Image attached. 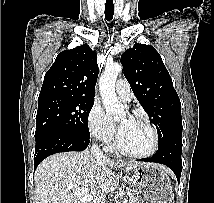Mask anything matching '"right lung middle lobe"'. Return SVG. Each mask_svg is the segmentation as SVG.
Returning a JSON list of instances; mask_svg holds the SVG:
<instances>
[{
	"label": "right lung middle lobe",
	"instance_id": "obj_1",
	"mask_svg": "<svg viewBox=\"0 0 214 203\" xmlns=\"http://www.w3.org/2000/svg\"><path fill=\"white\" fill-rule=\"evenodd\" d=\"M93 98L49 96L38 99L35 139L47 132L90 138L88 116Z\"/></svg>",
	"mask_w": 214,
	"mask_h": 203
}]
</instances>
